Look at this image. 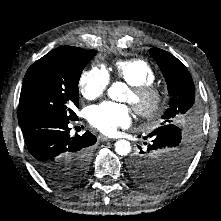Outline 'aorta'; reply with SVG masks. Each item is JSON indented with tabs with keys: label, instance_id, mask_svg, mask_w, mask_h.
<instances>
[{
	"label": "aorta",
	"instance_id": "1",
	"mask_svg": "<svg viewBox=\"0 0 221 221\" xmlns=\"http://www.w3.org/2000/svg\"><path fill=\"white\" fill-rule=\"evenodd\" d=\"M122 83L116 82L108 90L109 97L116 99L120 94ZM115 151L120 156H126L131 151V144L129 141L121 139L115 143Z\"/></svg>",
	"mask_w": 221,
	"mask_h": 221
}]
</instances>
